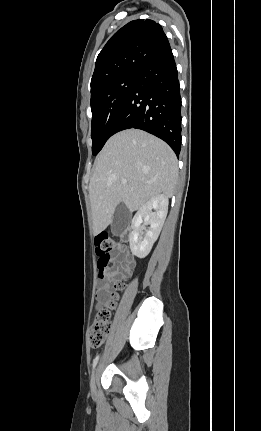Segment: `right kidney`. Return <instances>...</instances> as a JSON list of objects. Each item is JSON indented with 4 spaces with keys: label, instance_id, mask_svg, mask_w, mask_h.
Instances as JSON below:
<instances>
[{
    "label": "right kidney",
    "instance_id": "obj_1",
    "mask_svg": "<svg viewBox=\"0 0 261 431\" xmlns=\"http://www.w3.org/2000/svg\"><path fill=\"white\" fill-rule=\"evenodd\" d=\"M168 197L159 194L146 202L132 220L133 231L129 235L130 249L138 258H145L157 240L168 212ZM154 210V212H152ZM144 222V225L142 223ZM150 225L144 237L142 230Z\"/></svg>",
    "mask_w": 261,
    "mask_h": 431
}]
</instances>
